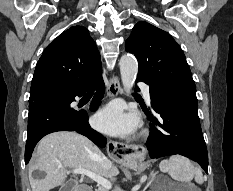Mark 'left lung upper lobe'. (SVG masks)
Segmentation results:
<instances>
[{"instance_id":"obj_1","label":"left lung upper lobe","mask_w":233,"mask_h":191,"mask_svg":"<svg viewBox=\"0 0 233 191\" xmlns=\"http://www.w3.org/2000/svg\"><path fill=\"white\" fill-rule=\"evenodd\" d=\"M125 49L138 60V78L153 91H171L196 98V87L180 46L167 32L147 23H137Z\"/></svg>"}]
</instances>
